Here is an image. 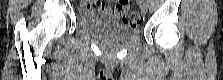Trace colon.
<instances>
[{"label": "colon", "mask_w": 223, "mask_h": 80, "mask_svg": "<svg viewBox=\"0 0 223 80\" xmlns=\"http://www.w3.org/2000/svg\"><path fill=\"white\" fill-rule=\"evenodd\" d=\"M116 8L121 13L124 23L136 26L142 22V15L138 11H130L127 0H120L116 3Z\"/></svg>", "instance_id": "5ec220e1"}]
</instances>
